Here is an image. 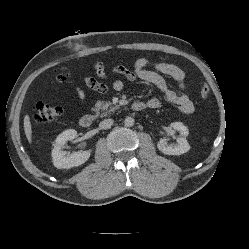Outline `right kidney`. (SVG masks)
<instances>
[{"label":"right kidney","instance_id":"ca27d5eb","mask_svg":"<svg viewBox=\"0 0 249 249\" xmlns=\"http://www.w3.org/2000/svg\"><path fill=\"white\" fill-rule=\"evenodd\" d=\"M76 136V130L68 129L59 134L56 138L54 148L52 150V160L56 168L69 169L72 167L79 166L89 159L91 155V150L74 152L68 155L62 150L63 145L67 141L75 139Z\"/></svg>","mask_w":249,"mask_h":249}]
</instances>
